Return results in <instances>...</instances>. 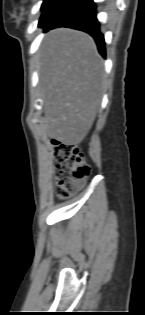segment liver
<instances>
[{"instance_id": "obj_1", "label": "liver", "mask_w": 145, "mask_h": 315, "mask_svg": "<svg viewBox=\"0 0 145 315\" xmlns=\"http://www.w3.org/2000/svg\"><path fill=\"white\" fill-rule=\"evenodd\" d=\"M47 135L79 144L95 120L103 90V61L88 34L55 29L46 36L38 66Z\"/></svg>"}]
</instances>
